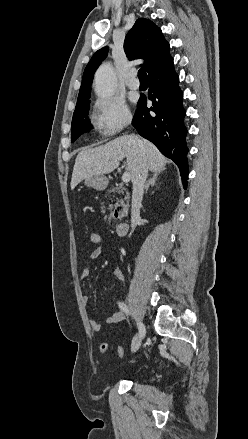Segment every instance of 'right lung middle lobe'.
I'll return each mask as SVG.
<instances>
[{
    "label": "right lung middle lobe",
    "mask_w": 248,
    "mask_h": 439,
    "mask_svg": "<svg viewBox=\"0 0 248 439\" xmlns=\"http://www.w3.org/2000/svg\"><path fill=\"white\" fill-rule=\"evenodd\" d=\"M89 100L74 111L71 124V142H74L81 134L92 129L88 118Z\"/></svg>",
    "instance_id": "1"
}]
</instances>
